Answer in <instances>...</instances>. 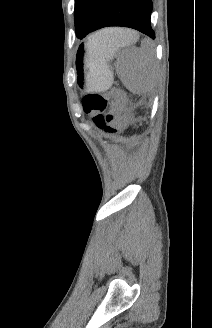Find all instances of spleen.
I'll return each mask as SVG.
<instances>
[{
  "instance_id": "obj_1",
  "label": "spleen",
  "mask_w": 212,
  "mask_h": 328,
  "mask_svg": "<svg viewBox=\"0 0 212 328\" xmlns=\"http://www.w3.org/2000/svg\"><path fill=\"white\" fill-rule=\"evenodd\" d=\"M86 46L96 56L112 58L118 48L124 45L114 44L109 36V29H105L91 35ZM118 74L123 84L133 93L147 94L155 88L157 70L148 39L141 42V47H132L125 51Z\"/></svg>"
}]
</instances>
